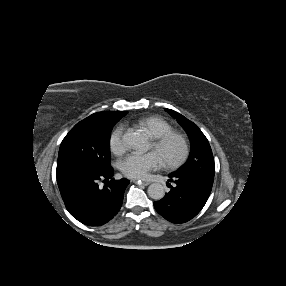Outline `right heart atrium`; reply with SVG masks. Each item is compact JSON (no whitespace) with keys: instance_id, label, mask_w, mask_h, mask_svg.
<instances>
[{"instance_id":"d8ad5b80","label":"right heart atrium","mask_w":286,"mask_h":286,"mask_svg":"<svg viewBox=\"0 0 286 286\" xmlns=\"http://www.w3.org/2000/svg\"><path fill=\"white\" fill-rule=\"evenodd\" d=\"M110 151L115 155H121L127 151L129 144L126 138L125 128L119 125L113 128L108 136Z\"/></svg>"}]
</instances>
